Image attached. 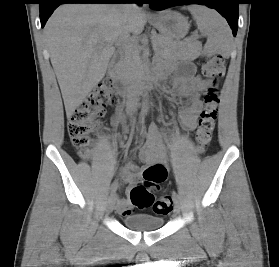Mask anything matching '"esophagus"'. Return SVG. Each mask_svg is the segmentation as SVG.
Segmentation results:
<instances>
[{"mask_svg":"<svg viewBox=\"0 0 279 267\" xmlns=\"http://www.w3.org/2000/svg\"><path fill=\"white\" fill-rule=\"evenodd\" d=\"M144 13L146 15H152L151 12L148 10V7L146 5H144Z\"/></svg>","mask_w":279,"mask_h":267,"instance_id":"esophagus-1","label":"esophagus"}]
</instances>
